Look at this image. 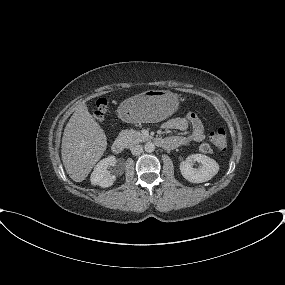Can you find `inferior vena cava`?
Returning a JSON list of instances; mask_svg holds the SVG:
<instances>
[{
	"label": "inferior vena cava",
	"instance_id": "1",
	"mask_svg": "<svg viewBox=\"0 0 285 285\" xmlns=\"http://www.w3.org/2000/svg\"><path fill=\"white\" fill-rule=\"evenodd\" d=\"M143 152V147L141 145H136L131 148V153L133 155H140Z\"/></svg>",
	"mask_w": 285,
	"mask_h": 285
}]
</instances>
